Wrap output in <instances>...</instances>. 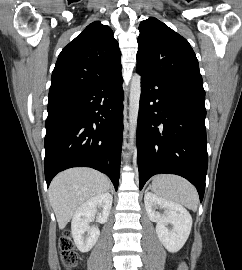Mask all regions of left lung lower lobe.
Masks as SVG:
<instances>
[{
    "instance_id": "0a47b994",
    "label": "left lung lower lobe",
    "mask_w": 242,
    "mask_h": 270,
    "mask_svg": "<svg viewBox=\"0 0 242 270\" xmlns=\"http://www.w3.org/2000/svg\"><path fill=\"white\" fill-rule=\"evenodd\" d=\"M137 124L139 187L153 175L189 180L202 202L208 166L205 95L165 85L140 72Z\"/></svg>"
}]
</instances>
